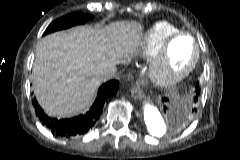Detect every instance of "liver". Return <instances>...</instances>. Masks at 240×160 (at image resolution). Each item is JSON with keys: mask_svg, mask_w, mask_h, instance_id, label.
<instances>
[{"mask_svg": "<svg viewBox=\"0 0 240 160\" xmlns=\"http://www.w3.org/2000/svg\"><path fill=\"white\" fill-rule=\"evenodd\" d=\"M142 26L114 22L101 29L77 26L42 38L33 65L38 103L53 117L66 118L84 110L104 81L101 73L130 60Z\"/></svg>", "mask_w": 240, "mask_h": 160, "instance_id": "obj_1", "label": "liver"}]
</instances>
